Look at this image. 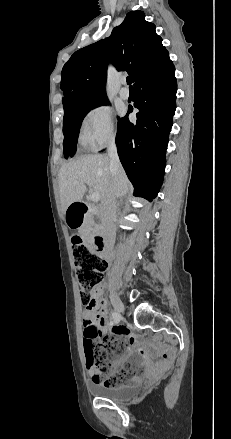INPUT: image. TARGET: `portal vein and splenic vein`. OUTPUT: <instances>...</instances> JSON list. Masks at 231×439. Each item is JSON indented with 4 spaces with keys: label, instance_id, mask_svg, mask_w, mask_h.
I'll use <instances>...</instances> for the list:
<instances>
[{
    "label": "portal vein and splenic vein",
    "instance_id": "18ae733b",
    "mask_svg": "<svg viewBox=\"0 0 231 439\" xmlns=\"http://www.w3.org/2000/svg\"><path fill=\"white\" fill-rule=\"evenodd\" d=\"M89 193H90L89 197H90L91 201H93V202H98L99 201L100 196H99L98 193L93 192L92 190H90Z\"/></svg>",
    "mask_w": 231,
    "mask_h": 439
}]
</instances>
